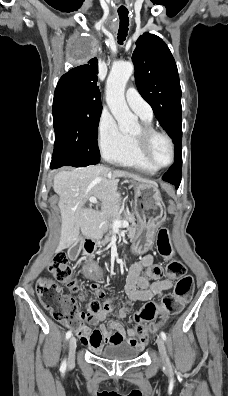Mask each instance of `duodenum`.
<instances>
[{
	"label": "duodenum",
	"instance_id": "duodenum-1",
	"mask_svg": "<svg viewBox=\"0 0 228 396\" xmlns=\"http://www.w3.org/2000/svg\"><path fill=\"white\" fill-rule=\"evenodd\" d=\"M83 246L86 253L91 254L96 250L97 243L92 236H88L84 239Z\"/></svg>",
	"mask_w": 228,
	"mask_h": 396
}]
</instances>
